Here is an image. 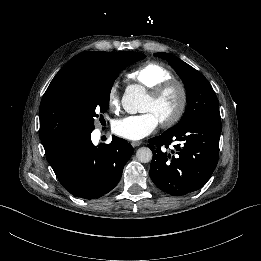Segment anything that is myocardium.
<instances>
[{"mask_svg":"<svg viewBox=\"0 0 261 261\" xmlns=\"http://www.w3.org/2000/svg\"><path fill=\"white\" fill-rule=\"evenodd\" d=\"M171 91H177L179 93L180 100L175 112L169 118L160 121V124L164 128H169L175 125L185 113L188 103L186 87L182 82L171 79L158 84L149 94V98L156 102Z\"/></svg>","mask_w":261,"mask_h":261,"instance_id":"1","label":"myocardium"}]
</instances>
